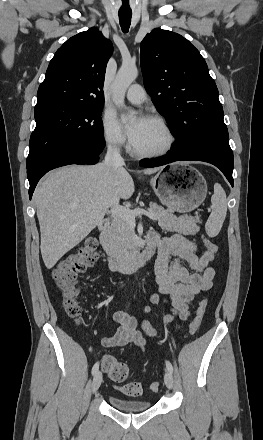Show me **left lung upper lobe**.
<instances>
[{"label": "left lung upper lobe", "mask_w": 263, "mask_h": 440, "mask_svg": "<svg viewBox=\"0 0 263 440\" xmlns=\"http://www.w3.org/2000/svg\"><path fill=\"white\" fill-rule=\"evenodd\" d=\"M144 85L184 155L228 141L218 89L199 51L181 35L153 29L140 45Z\"/></svg>", "instance_id": "left-lung-upper-lobe-1"}]
</instances>
